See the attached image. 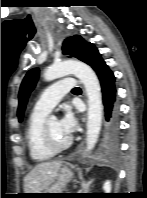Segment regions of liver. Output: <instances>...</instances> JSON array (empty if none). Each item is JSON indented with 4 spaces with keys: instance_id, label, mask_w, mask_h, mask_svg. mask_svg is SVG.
<instances>
[{
    "instance_id": "1",
    "label": "liver",
    "mask_w": 147,
    "mask_h": 198,
    "mask_svg": "<svg viewBox=\"0 0 147 198\" xmlns=\"http://www.w3.org/2000/svg\"><path fill=\"white\" fill-rule=\"evenodd\" d=\"M62 161L43 162L36 165L24 178L25 193H40L57 178Z\"/></svg>"
}]
</instances>
